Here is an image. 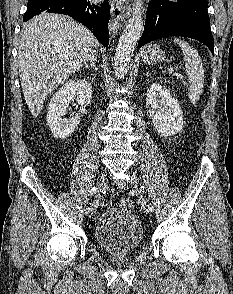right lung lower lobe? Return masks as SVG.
<instances>
[{"instance_id":"obj_1","label":"right lung lower lobe","mask_w":233,"mask_h":294,"mask_svg":"<svg viewBox=\"0 0 233 294\" xmlns=\"http://www.w3.org/2000/svg\"><path fill=\"white\" fill-rule=\"evenodd\" d=\"M42 12L69 15L89 28L105 47L109 44L108 0H104L101 4H93L89 0H29L23 21L26 22Z\"/></svg>"}]
</instances>
